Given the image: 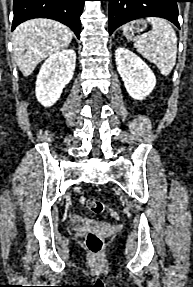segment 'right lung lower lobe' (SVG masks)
Instances as JSON below:
<instances>
[{
  "instance_id": "1",
  "label": "right lung lower lobe",
  "mask_w": 193,
  "mask_h": 287,
  "mask_svg": "<svg viewBox=\"0 0 193 287\" xmlns=\"http://www.w3.org/2000/svg\"><path fill=\"white\" fill-rule=\"evenodd\" d=\"M85 0H14L12 31L20 23L33 18H49L70 27L80 38V15Z\"/></svg>"
}]
</instances>
